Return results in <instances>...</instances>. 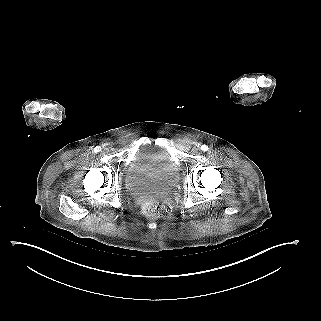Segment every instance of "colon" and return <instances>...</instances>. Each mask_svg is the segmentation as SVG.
Wrapping results in <instances>:
<instances>
[{"instance_id": "obj_1", "label": "colon", "mask_w": 321, "mask_h": 321, "mask_svg": "<svg viewBox=\"0 0 321 321\" xmlns=\"http://www.w3.org/2000/svg\"><path fill=\"white\" fill-rule=\"evenodd\" d=\"M144 213L153 218L166 217L170 213L169 206L160 200H150L143 205Z\"/></svg>"}]
</instances>
